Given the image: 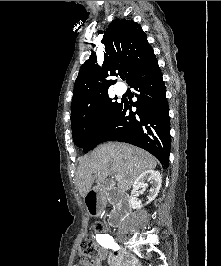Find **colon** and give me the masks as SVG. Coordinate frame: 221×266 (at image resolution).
Returning <instances> with one entry per match:
<instances>
[{
    "label": "colon",
    "instance_id": "5ec220e1",
    "mask_svg": "<svg viewBox=\"0 0 221 266\" xmlns=\"http://www.w3.org/2000/svg\"><path fill=\"white\" fill-rule=\"evenodd\" d=\"M94 228L97 231H102L103 225L100 222H96ZM78 255L82 261H92L96 258L97 250L91 234H86L82 237L79 244Z\"/></svg>",
    "mask_w": 221,
    "mask_h": 266
}]
</instances>
